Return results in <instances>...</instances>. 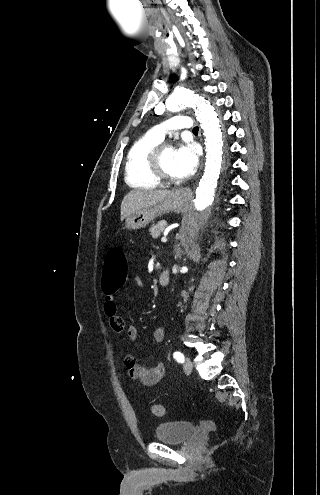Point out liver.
<instances>
[{"mask_svg":"<svg viewBox=\"0 0 320 495\" xmlns=\"http://www.w3.org/2000/svg\"><path fill=\"white\" fill-rule=\"evenodd\" d=\"M171 191L167 190H132L122 200L121 221L131 213L150 207L162 201Z\"/></svg>","mask_w":320,"mask_h":495,"instance_id":"1","label":"liver"}]
</instances>
